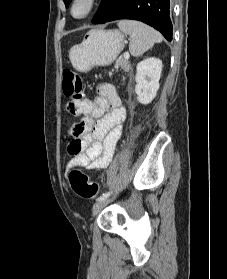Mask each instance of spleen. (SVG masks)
Here are the masks:
<instances>
[{
    "mask_svg": "<svg viewBox=\"0 0 227 279\" xmlns=\"http://www.w3.org/2000/svg\"><path fill=\"white\" fill-rule=\"evenodd\" d=\"M117 25L122 32L131 35L129 51L134 57L143 55L155 43L163 40L158 31L138 21L121 20Z\"/></svg>",
    "mask_w": 227,
    "mask_h": 279,
    "instance_id": "spleen-1",
    "label": "spleen"
}]
</instances>
